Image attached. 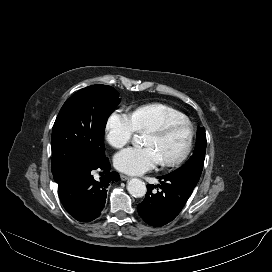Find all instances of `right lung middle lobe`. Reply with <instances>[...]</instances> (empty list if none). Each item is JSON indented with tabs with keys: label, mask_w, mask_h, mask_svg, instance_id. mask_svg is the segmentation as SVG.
Instances as JSON below:
<instances>
[{
	"label": "right lung middle lobe",
	"mask_w": 272,
	"mask_h": 272,
	"mask_svg": "<svg viewBox=\"0 0 272 272\" xmlns=\"http://www.w3.org/2000/svg\"><path fill=\"white\" fill-rule=\"evenodd\" d=\"M119 93L107 85L80 89L66 100L53 126L52 173L57 181L72 170L104 159L107 119L120 103Z\"/></svg>",
	"instance_id": "1"
}]
</instances>
